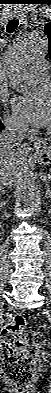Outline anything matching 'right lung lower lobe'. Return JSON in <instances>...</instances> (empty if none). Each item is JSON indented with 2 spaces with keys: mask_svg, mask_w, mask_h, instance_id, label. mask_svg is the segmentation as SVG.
<instances>
[{
  "mask_svg": "<svg viewBox=\"0 0 51 393\" xmlns=\"http://www.w3.org/2000/svg\"><path fill=\"white\" fill-rule=\"evenodd\" d=\"M2 129H4V125L1 123V121H0V131L2 130Z\"/></svg>",
  "mask_w": 51,
  "mask_h": 393,
  "instance_id": "1",
  "label": "right lung lower lobe"
}]
</instances>
